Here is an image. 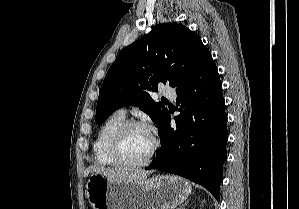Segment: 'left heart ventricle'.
<instances>
[{
    "label": "left heart ventricle",
    "mask_w": 299,
    "mask_h": 209,
    "mask_svg": "<svg viewBox=\"0 0 299 209\" xmlns=\"http://www.w3.org/2000/svg\"><path fill=\"white\" fill-rule=\"evenodd\" d=\"M151 146L149 133L141 128H133L122 139L120 157L127 163L140 162L146 158Z\"/></svg>",
    "instance_id": "b2bd125f"
}]
</instances>
